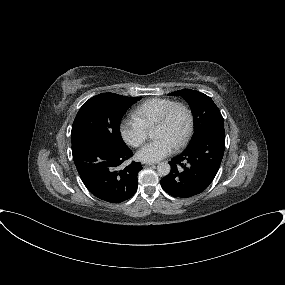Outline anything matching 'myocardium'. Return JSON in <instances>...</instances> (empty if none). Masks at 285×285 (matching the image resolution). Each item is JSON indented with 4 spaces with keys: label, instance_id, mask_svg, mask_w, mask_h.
Returning a JSON list of instances; mask_svg holds the SVG:
<instances>
[{
    "label": "myocardium",
    "instance_id": "obj_1",
    "mask_svg": "<svg viewBox=\"0 0 285 285\" xmlns=\"http://www.w3.org/2000/svg\"><path fill=\"white\" fill-rule=\"evenodd\" d=\"M177 110L184 111V113L186 114V118H187V126H186L185 133L182 139L175 146L176 148H181L188 142L191 136L192 130H193V115H192L190 108L187 105L176 102L159 118V120L156 122L155 125H166L167 123H169V121L172 119L174 113Z\"/></svg>",
    "mask_w": 285,
    "mask_h": 285
}]
</instances>
